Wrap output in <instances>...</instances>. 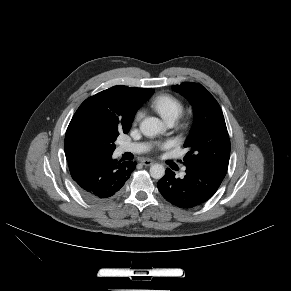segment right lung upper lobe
Returning a JSON list of instances; mask_svg holds the SVG:
<instances>
[{
  "instance_id": "obj_1",
  "label": "right lung upper lobe",
  "mask_w": 291,
  "mask_h": 291,
  "mask_svg": "<svg viewBox=\"0 0 291 291\" xmlns=\"http://www.w3.org/2000/svg\"><path fill=\"white\" fill-rule=\"evenodd\" d=\"M153 93L151 88L114 86L86 99L74 114L65 135L67 161L86 154L74 141L71 126L81 119H97L130 129L134 115L141 104Z\"/></svg>"
}]
</instances>
